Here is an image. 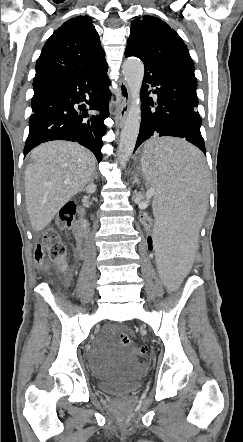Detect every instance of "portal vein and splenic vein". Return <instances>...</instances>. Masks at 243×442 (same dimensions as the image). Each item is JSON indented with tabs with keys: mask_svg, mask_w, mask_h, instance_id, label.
Instances as JSON below:
<instances>
[{
	"mask_svg": "<svg viewBox=\"0 0 243 442\" xmlns=\"http://www.w3.org/2000/svg\"><path fill=\"white\" fill-rule=\"evenodd\" d=\"M155 194V190L154 189H150L147 191L146 195L149 197H152Z\"/></svg>",
	"mask_w": 243,
	"mask_h": 442,
	"instance_id": "portal-vein-and-splenic-vein-1",
	"label": "portal vein and splenic vein"
}]
</instances>
